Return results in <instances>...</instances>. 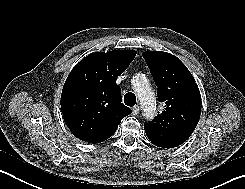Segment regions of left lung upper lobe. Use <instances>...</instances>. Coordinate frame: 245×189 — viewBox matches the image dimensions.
Masks as SVG:
<instances>
[{"mask_svg":"<svg viewBox=\"0 0 245 189\" xmlns=\"http://www.w3.org/2000/svg\"><path fill=\"white\" fill-rule=\"evenodd\" d=\"M157 85L164 110L144 124L148 139L157 147L184 143L196 128L201 113L199 88L187 67L174 55L161 51L142 53Z\"/></svg>","mask_w":245,"mask_h":189,"instance_id":"obj_1","label":"left lung upper lobe"}]
</instances>
